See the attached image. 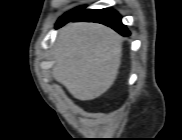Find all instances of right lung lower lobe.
Instances as JSON below:
<instances>
[{"instance_id": "obj_1", "label": "right lung lower lobe", "mask_w": 182, "mask_h": 140, "mask_svg": "<svg viewBox=\"0 0 182 140\" xmlns=\"http://www.w3.org/2000/svg\"><path fill=\"white\" fill-rule=\"evenodd\" d=\"M69 21L97 22L113 28L123 36L130 35L126 26L121 22V16L113 9L82 10L68 19L57 23V27H60Z\"/></svg>"}]
</instances>
